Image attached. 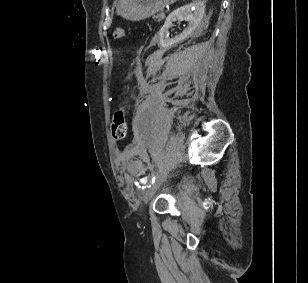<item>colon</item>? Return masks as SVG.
Segmentation results:
<instances>
[{
	"mask_svg": "<svg viewBox=\"0 0 308 283\" xmlns=\"http://www.w3.org/2000/svg\"><path fill=\"white\" fill-rule=\"evenodd\" d=\"M114 40H120L125 37V30L123 28H116L112 33ZM111 133L115 141L121 142L125 139L127 134L126 113L123 107L118 108L113 115L111 121Z\"/></svg>",
	"mask_w": 308,
	"mask_h": 283,
	"instance_id": "colon-1",
	"label": "colon"
}]
</instances>
